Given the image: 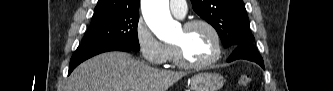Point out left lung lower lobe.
I'll return each instance as SVG.
<instances>
[{
	"label": "left lung lower lobe",
	"instance_id": "1",
	"mask_svg": "<svg viewBox=\"0 0 333 91\" xmlns=\"http://www.w3.org/2000/svg\"><path fill=\"white\" fill-rule=\"evenodd\" d=\"M233 52L228 58V62L237 60V59H246L249 61L256 62L262 68H264L263 59L258 53L253 43L241 44L232 48Z\"/></svg>",
	"mask_w": 333,
	"mask_h": 91
}]
</instances>
